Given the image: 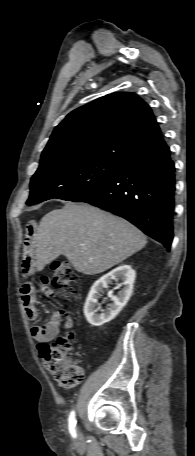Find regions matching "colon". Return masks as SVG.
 I'll use <instances>...</instances> for the list:
<instances>
[{
  "label": "colon",
  "instance_id": "1",
  "mask_svg": "<svg viewBox=\"0 0 195 456\" xmlns=\"http://www.w3.org/2000/svg\"><path fill=\"white\" fill-rule=\"evenodd\" d=\"M53 286L64 294L75 293L80 282L70 263L56 260L50 265ZM73 334L58 337L52 344L40 343L38 345L40 357L45 368L53 378L63 387H74L82 378V369L71 361L73 348Z\"/></svg>",
  "mask_w": 195,
  "mask_h": 456
}]
</instances>
